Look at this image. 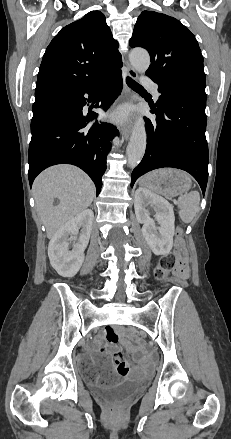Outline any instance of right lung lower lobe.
<instances>
[{
  "mask_svg": "<svg viewBox=\"0 0 231 439\" xmlns=\"http://www.w3.org/2000/svg\"><path fill=\"white\" fill-rule=\"evenodd\" d=\"M122 76L115 69L98 81L80 90L57 91L36 96L35 102L51 100L60 109L42 118H32V138L29 145V182L45 168L61 163L73 164L84 170L96 185L97 195L102 187V175L106 170V157L111 149L110 141L116 135V128L97 121L88 127L98 114L82 112L90 99L98 96L95 108L106 111L122 89Z\"/></svg>",
  "mask_w": 231,
  "mask_h": 439,
  "instance_id": "98d812e1",
  "label": "right lung lower lobe"
}]
</instances>
